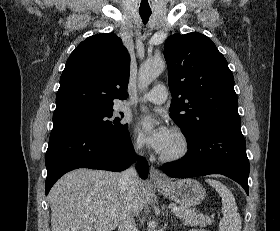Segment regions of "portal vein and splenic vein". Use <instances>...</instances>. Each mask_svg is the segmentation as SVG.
I'll list each match as a JSON object with an SVG mask.
<instances>
[{
    "label": "portal vein and splenic vein",
    "mask_w": 280,
    "mask_h": 231,
    "mask_svg": "<svg viewBox=\"0 0 280 231\" xmlns=\"http://www.w3.org/2000/svg\"><path fill=\"white\" fill-rule=\"evenodd\" d=\"M172 211H174V213H176V211H179V207H172Z\"/></svg>",
    "instance_id": "obj_1"
}]
</instances>
